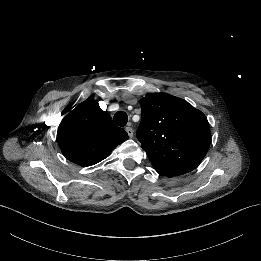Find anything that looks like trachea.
Segmentation results:
<instances>
[{"mask_svg":"<svg viewBox=\"0 0 261 261\" xmlns=\"http://www.w3.org/2000/svg\"><path fill=\"white\" fill-rule=\"evenodd\" d=\"M113 120L116 125L124 127L128 122V115L124 111H118L115 113Z\"/></svg>","mask_w":261,"mask_h":261,"instance_id":"1","label":"trachea"}]
</instances>
